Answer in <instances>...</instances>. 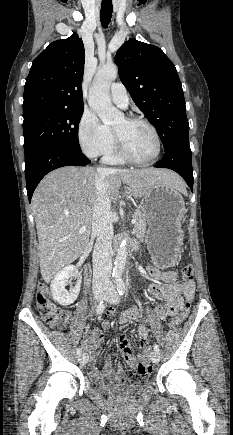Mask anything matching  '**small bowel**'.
<instances>
[{
    "instance_id": "small-bowel-1",
    "label": "small bowel",
    "mask_w": 233,
    "mask_h": 435,
    "mask_svg": "<svg viewBox=\"0 0 233 435\" xmlns=\"http://www.w3.org/2000/svg\"><path fill=\"white\" fill-rule=\"evenodd\" d=\"M146 273L150 279L148 284V291L155 299L161 301V304L155 308V315L159 319L167 317L173 318L177 315L179 307L182 305L184 298L192 301L194 295V286H183L177 282L178 274L173 270L161 271L152 265H147ZM160 282V283H158ZM184 292V294H183ZM112 317L117 318L120 324H131L132 321L140 316V312L137 309H133L123 314H117L115 312L109 313ZM104 330H108L111 327V323L108 320L102 322ZM139 345L143 348L142 355L136 358L132 355V348L128 339L121 335L119 337V345L121 352L124 356L126 363L132 368L137 369L139 359L146 358L148 351L146 349L148 340V329L144 326L137 328ZM104 333L97 331H88L86 340L84 341V348L90 354L89 361V375L93 381L97 384H103L106 381H122L131 380L132 376L125 377L124 368L121 363L117 365L116 369L112 368L111 355H107L104 360L103 372H100L96 367V361L99 355V346L104 341ZM150 371L138 373L141 379H145V375H149Z\"/></svg>"
}]
</instances>
